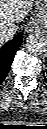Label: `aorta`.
I'll return each mask as SVG.
<instances>
[{
  "label": "aorta",
  "mask_w": 47,
  "mask_h": 129,
  "mask_svg": "<svg viewBox=\"0 0 47 129\" xmlns=\"http://www.w3.org/2000/svg\"><path fill=\"white\" fill-rule=\"evenodd\" d=\"M26 48L32 54H43L47 51V40L41 34H31L26 38Z\"/></svg>",
  "instance_id": "aorta-1"
}]
</instances>
